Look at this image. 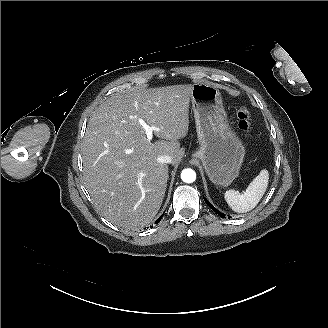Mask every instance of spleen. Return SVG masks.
<instances>
[{"mask_svg":"<svg viewBox=\"0 0 328 328\" xmlns=\"http://www.w3.org/2000/svg\"><path fill=\"white\" fill-rule=\"evenodd\" d=\"M268 184V171L263 169L259 175L253 179L246 190L239 194L233 190L227 191L224 195L229 207L238 213L252 210L262 198Z\"/></svg>","mask_w":328,"mask_h":328,"instance_id":"spleen-1","label":"spleen"}]
</instances>
